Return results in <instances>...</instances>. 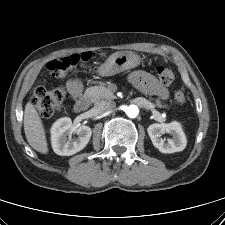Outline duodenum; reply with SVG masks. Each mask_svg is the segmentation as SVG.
Returning a JSON list of instances; mask_svg holds the SVG:
<instances>
[{
  "label": "duodenum",
  "instance_id": "410a0bca",
  "mask_svg": "<svg viewBox=\"0 0 225 225\" xmlns=\"http://www.w3.org/2000/svg\"><path fill=\"white\" fill-rule=\"evenodd\" d=\"M91 104V98L89 96L80 97L75 103V110L78 113H83L88 110Z\"/></svg>",
  "mask_w": 225,
  "mask_h": 225
}]
</instances>
